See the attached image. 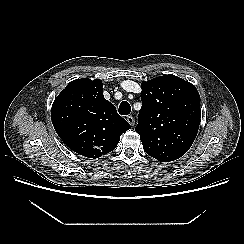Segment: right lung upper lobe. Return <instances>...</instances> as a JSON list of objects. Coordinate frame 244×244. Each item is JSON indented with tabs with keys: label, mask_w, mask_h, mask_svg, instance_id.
I'll return each instance as SVG.
<instances>
[{
	"label": "right lung upper lobe",
	"mask_w": 244,
	"mask_h": 244,
	"mask_svg": "<svg viewBox=\"0 0 244 244\" xmlns=\"http://www.w3.org/2000/svg\"><path fill=\"white\" fill-rule=\"evenodd\" d=\"M53 126L74 152L98 158L114 150L122 133L130 129L116 108L103 96L102 81H71L54 100Z\"/></svg>",
	"instance_id": "1"
}]
</instances>
